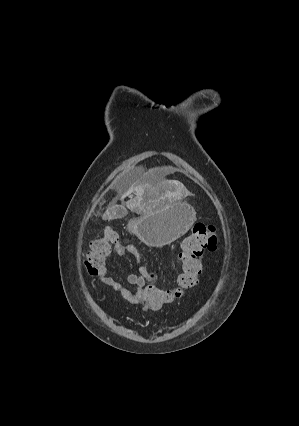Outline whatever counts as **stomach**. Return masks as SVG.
<instances>
[{
	"label": "stomach",
	"instance_id": "stomach-1",
	"mask_svg": "<svg viewBox=\"0 0 299 426\" xmlns=\"http://www.w3.org/2000/svg\"><path fill=\"white\" fill-rule=\"evenodd\" d=\"M195 221L194 208L187 202L175 201L131 219L128 231L147 246L161 248L183 236Z\"/></svg>",
	"mask_w": 299,
	"mask_h": 426
}]
</instances>
